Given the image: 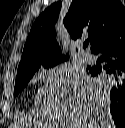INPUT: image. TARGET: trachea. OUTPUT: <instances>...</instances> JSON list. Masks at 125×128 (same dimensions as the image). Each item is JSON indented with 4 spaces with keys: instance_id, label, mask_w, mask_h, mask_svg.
<instances>
[{
    "instance_id": "3493384b",
    "label": "trachea",
    "mask_w": 125,
    "mask_h": 128,
    "mask_svg": "<svg viewBox=\"0 0 125 128\" xmlns=\"http://www.w3.org/2000/svg\"><path fill=\"white\" fill-rule=\"evenodd\" d=\"M87 46H88V42H85V43L83 44V47L86 48Z\"/></svg>"
}]
</instances>
